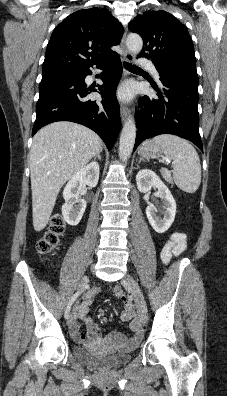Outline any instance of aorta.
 Here are the masks:
<instances>
[{"mask_svg": "<svg viewBox=\"0 0 227 396\" xmlns=\"http://www.w3.org/2000/svg\"><path fill=\"white\" fill-rule=\"evenodd\" d=\"M126 46L128 50L134 54H138L143 47L142 38L136 34L131 33L126 39ZM136 138V125L134 119L129 118L122 129L119 142V157L122 161H127L130 157Z\"/></svg>", "mask_w": 227, "mask_h": 396, "instance_id": "aorta-1", "label": "aorta"}]
</instances>
